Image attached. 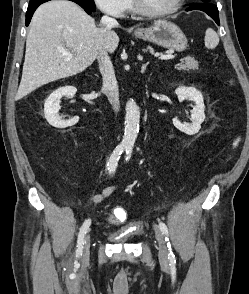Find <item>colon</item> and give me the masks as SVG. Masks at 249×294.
Segmentation results:
<instances>
[{
    "label": "colon",
    "instance_id": "5ec220e1",
    "mask_svg": "<svg viewBox=\"0 0 249 294\" xmlns=\"http://www.w3.org/2000/svg\"><path fill=\"white\" fill-rule=\"evenodd\" d=\"M116 217H125L126 218V213L124 212V210L119 209V212L116 214Z\"/></svg>",
    "mask_w": 249,
    "mask_h": 294
}]
</instances>
